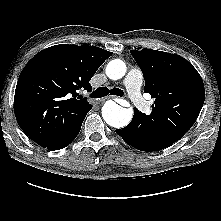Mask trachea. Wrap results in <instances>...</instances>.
Instances as JSON below:
<instances>
[{"mask_svg": "<svg viewBox=\"0 0 221 221\" xmlns=\"http://www.w3.org/2000/svg\"><path fill=\"white\" fill-rule=\"evenodd\" d=\"M108 94L122 97L124 95V92L123 90L118 88H112L109 90L107 87H99L91 94V97L101 98L107 96Z\"/></svg>", "mask_w": 221, "mask_h": 221, "instance_id": "trachea-1", "label": "trachea"}]
</instances>
